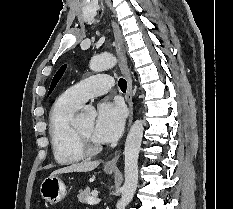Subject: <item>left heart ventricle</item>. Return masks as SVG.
<instances>
[{
  "label": "left heart ventricle",
  "mask_w": 233,
  "mask_h": 209,
  "mask_svg": "<svg viewBox=\"0 0 233 209\" xmlns=\"http://www.w3.org/2000/svg\"><path fill=\"white\" fill-rule=\"evenodd\" d=\"M78 127L81 130V132L85 136H87L92 142L99 144V142L96 141L93 137L94 120H89V121H86L84 123H81L78 125Z\"/></svg>",
  "instance_id": "obj_1"
}]
</instances>
